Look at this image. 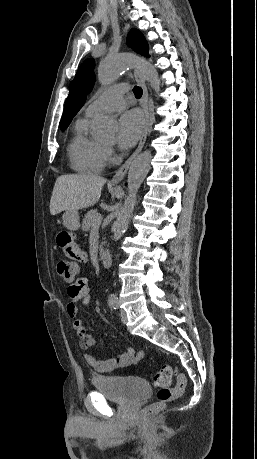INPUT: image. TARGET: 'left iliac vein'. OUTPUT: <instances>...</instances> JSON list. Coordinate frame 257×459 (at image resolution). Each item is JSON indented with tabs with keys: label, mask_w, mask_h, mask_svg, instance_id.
<instances>
[{
	"label": "left iliac vein",
	"mask_w": 257,
	"mask_h": 459,
	"mask_svg": "<svg viewBox=\"0 0 257 459\" xmlns=\"http://www.w3.org/2000/svg\"><path fill=\"white\" fill-rule=\"evenodd\" d=\"M120 317H121L122 323H126L127 322V314H126L125 310H120Z\"/></svg>",
	"instance_id": "obj_1"
}]
</instances>
